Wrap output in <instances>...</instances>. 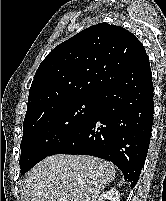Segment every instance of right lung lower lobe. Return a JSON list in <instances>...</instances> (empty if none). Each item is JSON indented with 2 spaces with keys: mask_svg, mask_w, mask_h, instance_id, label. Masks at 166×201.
Instances as JSON below:
<instances>
[{
  "mask_svg": "<svg viewBox=\"0 0 166 201\" xmlns=\"http://www.w3.org/2000/svg\"><path fill=\"white\" fill-rule=\"evenodd\" d=\"M153 83L147 54L106 88L89 119L54 154L92 155L113 162L131 188L139 179L153 123Z\"/></svg>",
  "mask_w": 166,
  "mask_h": 201,
  "instance_id": "98d812e1",
  "label": "right lung lower lobe"
}]
</instances>
